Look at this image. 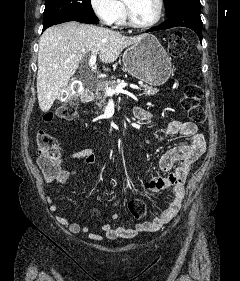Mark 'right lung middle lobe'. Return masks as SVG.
<instances>
[{
	"label": "right lung middle lobe",
	"mask_w": 240,
	"mask_h": 281,
	"mask_svg": "<svg viewBox=\"0 0 240 281\" xmlns=\"http://www.w3.org/2000/svg\"><path fill=\"white\" fill-rule=\"evenodd\" d=\"M64 19L95 20L98 18L90 0H46L43 27L48 28Z\"/></svg>",
	"instance_id": "dd1d6c3e"
}]
</instances>
